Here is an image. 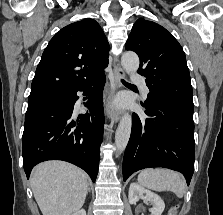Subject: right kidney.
I'll use <instances>...</instances> for the list:
<instances>
[{"label": "right kidney", "mask_w": 223, "mask_h": 215, "mask_svg": "<svg viewBox=\"0 0 223 215\" xmlns=\"http://www.w3.org/2000/svg\"><path fill=\"white\" fill-rule=\"evenodd\" d=\"M71 215H86L85 209H79L76 213H71Z\"/></svg>", "instance_id": "right-kidney-1"}]
</instances>
